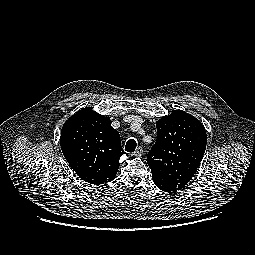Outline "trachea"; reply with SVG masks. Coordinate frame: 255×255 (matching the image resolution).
<instances>
[{"mask_svg":"<svg viewBox=\"0 0 255 255\" xmlns=\"http://www.w3.org/2000/svg\"><path fill=\"white\" fill-rule=\"evenodd\" d=\"M136 146H137L136 141L134 139H130L126 143L125 150L129 153H132L135 151Z\"/></svg>","mask_w":255,"mask_h":255,"instance_id":"3493384b","label":"trachea"}]
</instances>
